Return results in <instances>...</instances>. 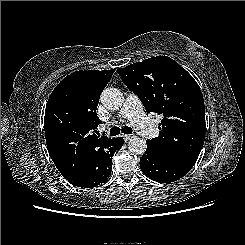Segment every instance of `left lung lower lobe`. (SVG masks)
I'll return each mask as SVG.
<instances>
[{"instance_id":"obj_1","label":"left lung lower lobe","mask_w":245,"mask_h":245,"mask_svg":"<svg viewBox=\"0 0 245 245\" xmlns=\"http://www.w3.org/2000/svg\"><path fill=\"white\" fill-rule=\"evenodd\" d=\"M195 162L196 160L188 158L164 156L147 146L145 154L140 159V167L142 172L150 179L161 183H169L186 175Z\"/></svg>"}]
</instances>
